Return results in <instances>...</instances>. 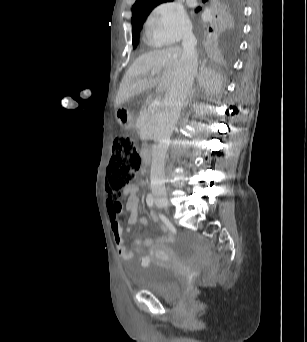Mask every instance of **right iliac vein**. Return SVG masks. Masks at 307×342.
Returning <instances> with one entry per match:
<instances>
[{
    "mask_svg": "<svg viewBox=\"0 0 307 342\" xmlns=\"http://www.w3.org/2000/svg\"><path fill=\"white\" fill-rule=\"evenodd\" d=\"M157 203L161 205L166 212H168L169 203L165 197H159L156 199Z\"/></svg>",
    "mask_w": 307,
    "mask_h": 342,
    "instance_id": "63e3f726",
    "label": "right iliac vein"
}]
</instances>
